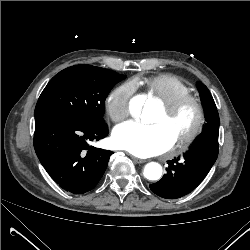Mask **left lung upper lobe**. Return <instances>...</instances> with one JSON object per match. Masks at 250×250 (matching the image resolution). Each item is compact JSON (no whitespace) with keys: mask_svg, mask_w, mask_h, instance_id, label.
<instances>
[{"mask_svg":"<svg viewBox=\"0 0 250 250\" xmlns=\"http://www.w3.org/2000/svg\"><path fill=\"white\" fill-rule=\"evenodd\" d=\"M198 91L202 106L204 107L207 123L204 126L203 132L219 129V115L215 102L210 94L208 88L202 84H198Z\"/></svg>","mask_w":250,"mask_h":250,"instance_id":"1","label":"left lung upper lobe"}]
</instances>
